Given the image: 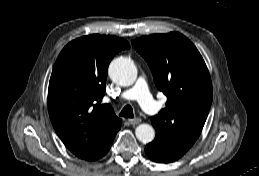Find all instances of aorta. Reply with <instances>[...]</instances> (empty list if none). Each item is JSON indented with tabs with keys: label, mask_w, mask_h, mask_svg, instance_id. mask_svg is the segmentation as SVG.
Masks as SVG:
<instances>
[{
	"label": "aorta",
	"mask_w": 259,
	"mask_h": 176,
	"mask_svg": "<svg viewBox=\"0 0 259 176\" xmlns=\"http://www.w3.org/2000/svg\"><path fill=\"white\" fill-rule=\"evenodd\" d=\"M110 78L121 86L132 85L137 78V69L134 63L125 57L114 59L108 70ZM137 139L142 143H150L154 140L155 130L149 124H140L135 129Z\"/></svg>",
	"instance_id": "762f6f07"
}]
</instances>
